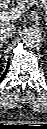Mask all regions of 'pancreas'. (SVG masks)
<instances>
[{"label":"pancreas","mask_w":47,"mask_h":129,"mask_svg":"<svg viewBox=\"0 0 47 129\" xmlns=\"http://www.w3.org/2000/svg\"><path fill=\"white\" fill-rule=\"evenodd\" d=\"M36 3H39L41 7L47 8V0H17V4L21 7L31 6Z\"/></svg>","instance_id":"obj_1"}]
</instances>
